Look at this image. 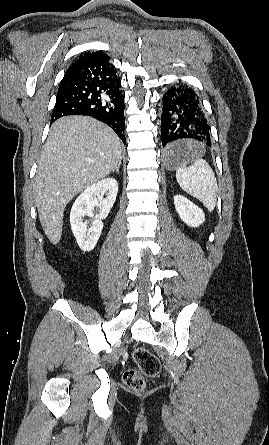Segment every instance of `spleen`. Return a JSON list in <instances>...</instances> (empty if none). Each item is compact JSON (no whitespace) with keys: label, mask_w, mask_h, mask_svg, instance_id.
<instances>
[{"label":"spleen","mask_w":269,"mask_h":445,"mask_svg":"<svg viewBox=\"0 0 269 445\" xmlns=\"http://www.w3.org/2000/svg\"><path fill=\"white\" fill-rule=\"evenodd\" d=\"M188 146L191 147L192 142H188ZM176 179L185 192L201 201L209 211L214 210L218 185L212 168L205 160L197 158L188 167L179 166Z\"/></svg>","instance_id":"obj_1"}]
</instances>
